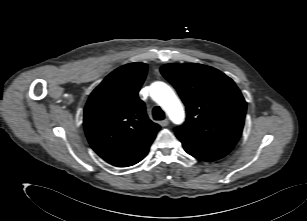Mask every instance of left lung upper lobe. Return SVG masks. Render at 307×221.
Masks as SVG:
<instances>
[{"label": "left lung upper lobe", "mask_w": 307, "mask_h": 221, "mask_svg": "<svg viewBox=\"0 0 307 221\" xmlns=\"http://www.w3.org/2000/svg\"><path fill=\"white\" fill-rule=\"evenodd\" d=\"M160 71L186 106V122L175 128L176 134L210 143H237L247 104L231 78L196 63L165 64Z\"/></svg>", "instance_id": "obj_1"}]
</instances>
